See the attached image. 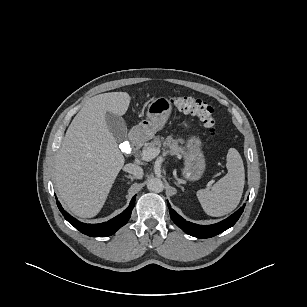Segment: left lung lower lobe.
Returning <instances> with one entry per match:
<instances>
[{
    "label": "left lung lower lobe",
    "instance_id": "left-lung-lower-lobe-1",
    "mask_svg": "<svg viewBox=\"0 0 307 307\" xmlns=\"http://www.w3.org/2000/svg\"><path fill=\"white\" fill-rule=\"evenodd\" d=\"M168 207L171 219L184 232L197 238H210L232 227L240 218L242 212L244 211L245 205L227 219L213 225H205V226L197 225L189 221H186L171 208L170 204H168Z\"/></svg>",
    "mask_w": 307,
    "mask_h": 307
}]
</instances>
